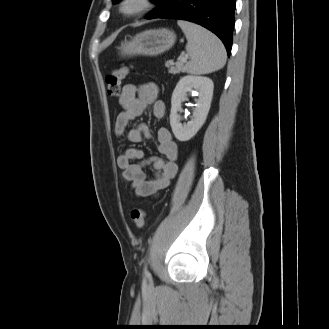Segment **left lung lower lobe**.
Here are the masks:
<instances>
[{"label":"left lung lower lobe","mask_w":329,"mask_h":329,"mask_svg":"<svg viewBox=\"0 0 329 329\" xmlns=\"http://www.w3.org/2000/svg\"><path fill=\"white\" fill-rule=\"evenodd\" d=\"M157 4L147 19H180L199 24L221 39L230 56L235 0H159Z\"/></svg>","instance_id":"obj_1"}]
</instances>
